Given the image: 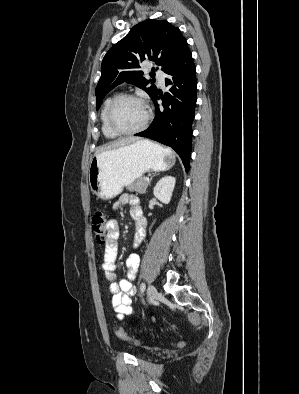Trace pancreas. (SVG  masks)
Returning <instances> with one entry per match:
<instances>
[{
  "instance_id": "pancreas-1",
  "label": "pancreas",
  "mask_w": 299,
  "mask_h": 394,
  "mask_svg": "<svg viewBox=\"0 0 299 394\" xmlns=\"http://www.w3.org/2000/svg\"><path fill=\"white\" fill-rule=\"evenodd\" d=\"M149 185V182L145 181L144 177H140L137 179V181L127 187V190L131 192H136L139 194H144L146 192V189Z\"/></svg>"
}]
</instances>
